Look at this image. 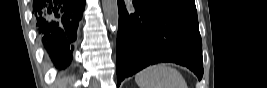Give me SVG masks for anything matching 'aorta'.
<instances>
[{
  "label": "aorta",
  "mask_w": 267,
  "mask_h": 88,
  "mask_svg": "<svg viewBox=\"0 0 267 88\" xmlns=\"http://www.w3.org/2000/svg\"><path fill=\"white\" fill-rule=\"evenodd\" d=\"M102 7L109 28L116 33L119 23L117 0H102Z\"/></svg>",
  "instance_id": "obj_1"
}]
</instances>
